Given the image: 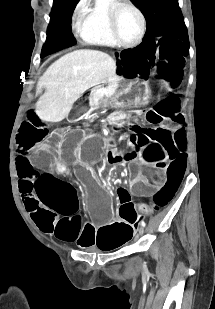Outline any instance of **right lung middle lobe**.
Returning a JSON list of instances; mask_svg holds the SVG:
<instances>
[{
    "instance_id": "dd1d6c3e",
    "label": "right lung middle lobe",
    "mask_w": 215,
    "mask_h": 309,
    "mask_svg": "<svg viewBox=\"0 0 215 309\" xmlns=\"http://www.w3.org/2000/svg\"><path fill=\"white\" fill-rule=\"evenodd\" d=\"M79 0H54L41 57L76 44L71 32V17Z\"/></svg>"
}]
</instances>
